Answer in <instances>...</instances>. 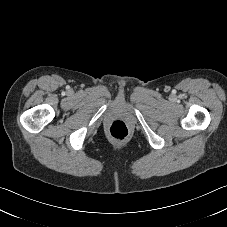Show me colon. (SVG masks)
Instances as JSON below:
<instances>
[{
    "label": "colon",
    "instance_id": "obj_1",
    "mask_svg": "<svg viewBox=\"0 0 227 227\" xmlns=\"http://www.w3.org/2000/svg\"><path fill=\"white\" fill-rule=\"evenodd\" d=\"M110 136L116 140H124L127 138L129 131L123 121H114L109 128Z\"/></svg>",
    "mask_w": 227,
    "mask_h": 227
}]
</instances>
